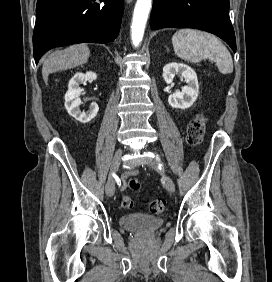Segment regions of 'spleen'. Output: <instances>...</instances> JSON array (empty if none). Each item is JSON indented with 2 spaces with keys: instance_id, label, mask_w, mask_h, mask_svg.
<instances>
[{
  "instance_id": "obj_1",
  "label": "spleen",
  "mask_w": 272,
  "mask_h": 282,
  "mask_svg": "<svg viewBox=\"0 0 272 282\" xmlns=\"http://www.w3.org/2000/svg\"><path fill=\"white\" fill-rule=\"evenodd\" d=\"M175 54L188 62L198 63L202 59L216 61L222 74L233 72V61L230 52L215 36L194 30L180 29L172 37Z\"/></svg>"
}]
</instances>
